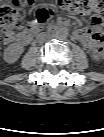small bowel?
<instances>
[{
	"mask_svg": "<svg viewBox=\"0 0 104 137\" xmlns=\"http://www.w3.org/2000/svg\"><path fill=\"white\" fill-rule=\"evenodd\" d=\"M60 21L62 23L64 22L63 19H61ZM35 26H37V23L34 21V22L31 23L30 26L25 28L18 35H15V34H12V33L6 34L4 40H5L6 43L17 42V43H20L21 45H26L31 40L28 33ZM74 38L77 39L78 41H80L88 49L94 51L96 54H98V55L101 54V52H96L93 48L95 45L101 46V44L93 39L92 33H90L89 31H87L85 29H78L74 33Z\"/></svg>",
	"mask_w": 104,
	"mask_h": 137,
	"instance_id": "obj_1",
	"label": "small bowel"
}]
</instances>
